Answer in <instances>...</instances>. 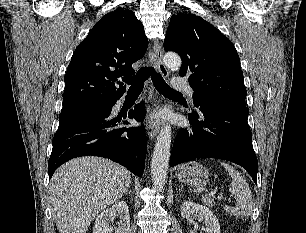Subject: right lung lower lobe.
<instances>
[{
    "label": "right lung lower lobe",
    "instance_id": "1",
    "mask_svg": "<svg viewBox=\"0 0 306 233\" xmlns=\"http://www.w3.org/2000/svg\"><path fill=\"white\" fill-rule=\"evenodd\" d=\"M115 103L108 108L85 112L59 121L48 163L49 179L66 161L87 155L111 159L125 166L133 174L143 175L147 150L144 126L128 129L117 127L120 120L111 117ZM128 117L143 121L144 103H139L131 109ZM123 124L128 122L125 121Z\"/></svg>",
    "mask_w": 306,
    "mask_h": 233
}]
</instances>
